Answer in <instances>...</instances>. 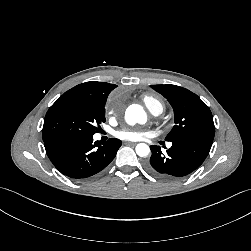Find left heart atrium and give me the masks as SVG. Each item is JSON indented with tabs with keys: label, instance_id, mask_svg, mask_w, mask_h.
Here are the masks:
<instances>
[{
	"label": "left heart atrium",
	"instance_id": "obj_1",
	"mask_svg": "<svg viewBox=\"0 0 251 251\" xmlns=\"http://www.w3.org/2000/svg\"><path fill=\"white\" fill-rule=\"evenodd\" d=\"M148 132L137 128H124L117 131L116 136L126 141H139L143 139Z\"/></svg>",
	"mask_w": 251,
	"mask_h": 251
}]
</instances>
